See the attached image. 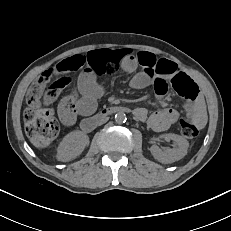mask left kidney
<instances>
[{
  "label": "left kidney",
  "instance_id": "obj_1",
  "mask_svg": "<svg viewBox=\"0 0 231 231\" xmlns=\"http://www.w3.org/2000/svg\"><path fill=\"white\" fill-rule=\"evenodd\" d=\"M163 137L171 139L174 142V148L162 151L157 145H152L150 152L156 160L161 163H172L187 154L189 142L184 137L177 134H166Z\"/></svg>",
  "mask_w": 231,
  "mask_h": 231
}]
</instances>
